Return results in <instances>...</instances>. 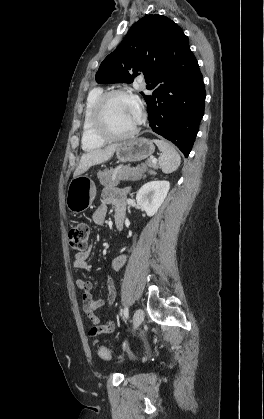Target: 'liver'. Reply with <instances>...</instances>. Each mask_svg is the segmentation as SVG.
Returning a JSON list of instances; mask_svg holds the SVG:
<instances>
[{"instance_id": "6515ba94", "label": "liver", "mask_w": 264, "mask_h": 419, "mask_svg": "<svg viewBox=\"0 0 264 419\" xmlns=\"http://www.w3.org/2000/svg\"><path fill=\"white\" fill-rule=\"evenodd\" d=\"M117 147L118 144H112L103 149L91 150L84 153L73 176L77 177L85 173L91 166L108 161L114 155Z\"/></svg>"}]
</instances>
